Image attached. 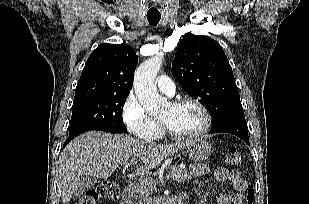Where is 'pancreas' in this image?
I'll return each instance as SVG.
<instances>
[{"instance_id":"1","label":"pancreas","mask_w":309,"mask_h":204,"mask_svg":"<svg viewBox=\"0 0 309 204\" xmlns=\"http://www.w3.org/2000/svg\"><path fill=\"white\" fill-rule=\"evenodd\" d=\"M169 178L173 179L178 183H183L191 179L187 169H183L176 166H170L169 168ZM156 190V183L150 178H144L135 187V192L139 198H144L153 193ZM142 204V203H140Z\"/></svg>"}]
</instances>
